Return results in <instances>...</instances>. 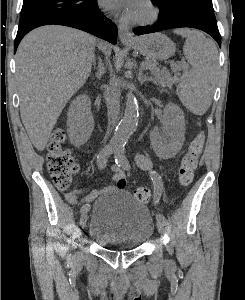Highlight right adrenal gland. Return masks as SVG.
Segmentation results:
<instances>
[{
  "instance_id": "obj_1",
  "label": "right adrenal gland",
  "mask_w": 245,
  "mask_h": 300,
  "mask_svg": "<svg viewBox=\"0 0 245 300\" xmlns=\"http://www.w3.org/2000/svg\"><path fill=\"white\" fill-rule=\"evenodd\" d=\"M98 63H99V65H98V69H97V72H96V77L100 79L101 76L103 75V73L105 72V69L103 67V64H102L100 58L98 59Z\"/></svg>"
}]
</instances>
